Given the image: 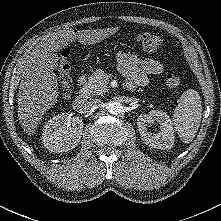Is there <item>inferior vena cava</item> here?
I'll use <instances>...</instances> for the list:
<instances>
[{
  "label": "inferior vena cava",
  "instance_id": "inferior-vena-cava-1",
  "mask_svg": "<svg viewBox=\"0 0 221 221\" xmlns=\"http://www.w3.org/2000/svg\"><path fill=\"white\" fill-rule=\"evenodd\" d=\"M100 99H94L91 98L90 100H88L87 102L84 103L82 110L84 112H89L93 109H95L97 107L98 104H100Z\"/></svg>",
  "mask_w": 221,
  "mask_h": 221
}]
</instances>
